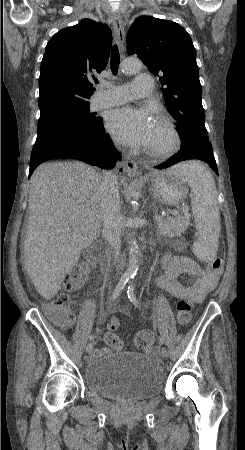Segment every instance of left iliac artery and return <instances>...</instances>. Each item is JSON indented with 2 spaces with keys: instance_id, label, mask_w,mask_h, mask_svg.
<instances>
[{
  "instance_id": "left-iliac-artery-1",
  "label": "left iliac artery",
  "mask_w": 245,
  "mask_h": 450,
  "mask_svg": "<svg viewBox=\"0 0 245 450\" xmlns=\"http://www.w3.org/2000/svg\"><path fill=\"white\" fill-rule=\"evenodd\" d=\"M133 278V277H132ZM127 296L129 298V300L137 307H140V303L138 301V299L135 296V286L134 283L131 282L128 286L127 289ZM159 343L162 345L164 343V340L162 337H159Z\"/></svg>"
}]
</instances>
